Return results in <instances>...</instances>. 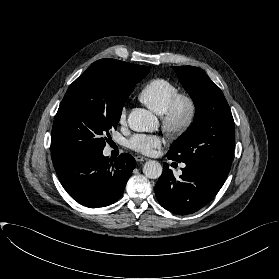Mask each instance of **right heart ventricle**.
<instances>
[{
    "instance_id": "1",
    "label": "right heart ventricle",
    "mask_w": 279,
    "mask_h": 279,
    "mask_svg": "<svg viewBox=\"0 0 279 279\" xmlns=\"http://www.w3.org/2000/svg\"><path fill=\"white\" fill-rule=\"evenodd\" d=\"M178 92V88L169 80L156 78L143 87L139 99L151 111L162 116Z\"/></svg>"
}]
</instances>
